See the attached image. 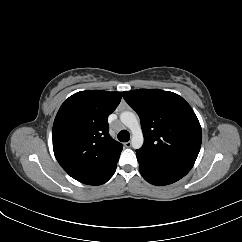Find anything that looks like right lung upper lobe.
Listing matches in <instances>:
<instances>
[{"label":"right lung upper lobe","mask_w":242,"mask_h":242,"mask_svg":"<svg viewBox=\"0 0 242 242\" xmlns=\"http://www.w3.org/2000/svg\"><path fill=\"white\" fill-rule=\"evenodd\" d=\"M121 98L120 92L88 90L61 105L53 124V150L74 179L85 181L121 153L123 146L109 135L107 121Z\"/></svg>","instance_id":"right-lung-upper-lobe-1"}]
</instances>
